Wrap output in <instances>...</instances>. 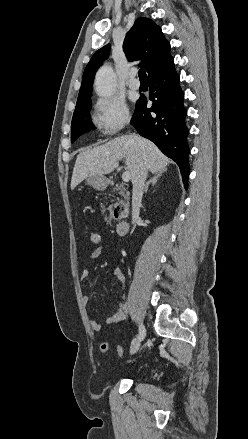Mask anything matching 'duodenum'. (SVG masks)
Returning a JSON list of instances; mask_svg holds the SVG:
<instances>
[{"mask_svg": "<svg viewBox=\"0 0 248 439\" xmlns=\"http://www.w3.org/2000/svg\"><path fill=\"white\" fill-rule=\"evenodd\" d=\"M115 215L119 219L118 223L116 224V232L118 235H123L129 229V223L126 219L127 212L123 207H117L115 209Z\"/></svg>", "mask_w": 248, "mask_h": 439, "instance_id": "410a0bca", "label": "duodenum"}]
</instances>
